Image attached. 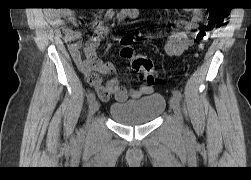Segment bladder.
Here are the masks:
<instances>
[{"instance_id": "1", "label": "bladder", "mask_w": 251, "mask_h": 180, "mask_svg": "<svg viewBox=\"0 0 251 180\" xmlns=\"http://www.w3.org/2000/svg\"><path fill=\"white\" fill-rule=\"evenodd\" d=\"M166 99L154 93L139 100L113 103L109 108L110 117L125 126H140L155 121L164 112Z\"/></svg>"}]
</instances>
